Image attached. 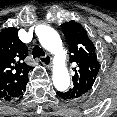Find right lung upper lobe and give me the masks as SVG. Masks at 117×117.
Masks as SVG:
<instances>
[{"instance_id":"cb5924a9","label":"right lung upper lobe","mask_w":117,"mask_h":117,"mask_svg":"<svg viewBox=\"0 0 117 117\" xmlns=\"http://www.w3.org/2000/svg\"><path fill=\"white\" fill-rule=\"evenodd\" d=\"M27 55V46L19 39L18 29L11 27L0 32V98L10 101L24 91L31 69L24 62Z\"/></svg>"}]
</instances>
